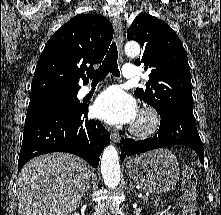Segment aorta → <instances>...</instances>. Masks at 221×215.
Segmentation results:
<instances>
[{"instance_id":"obj_1","label":"aorta","mask_w":221,"mask_h":215,"mask_svg":"<svg viewBox=\"0 0 221 215\" xmlns=\"http://www.w3.org/2000/svg\"><path fill=\"white\" fill-rule=\"evenodd\" d=\"M125 53L129 57H136L140 54V46L136 42H128L125 45ZM101 174L105 185L108 188H116L120 182V164L116 148L110 144L102 154Z\"/></svg>"}]
</instances>
